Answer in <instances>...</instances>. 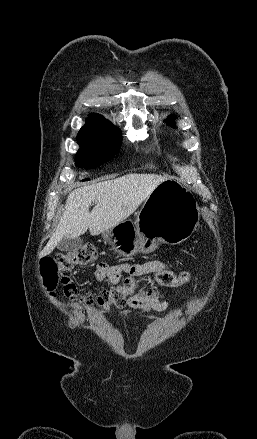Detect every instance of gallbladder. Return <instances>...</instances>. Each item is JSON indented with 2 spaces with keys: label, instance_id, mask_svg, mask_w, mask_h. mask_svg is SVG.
I'll return each instance as SVG.
<instances>
[{
  "label": "gallbladder",
  "instance_id": "1",
  "mask_svg": "<svg viewBox=\"0 0 257 439\" xmlns=\"http://www.w3.org/2000/svg\"><path fill=\"white\" fill-rule=\"evenodd\" d=\"M83 243L81 238H63L57 245L60 251L72 252L78 250Z\"/></svg>",
  "mask_w": 257,
  "mask_h": 439
}]
</instances>
